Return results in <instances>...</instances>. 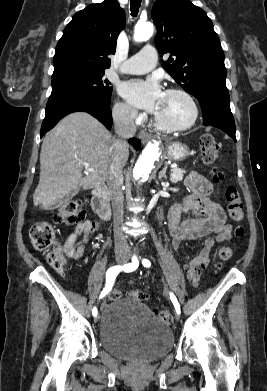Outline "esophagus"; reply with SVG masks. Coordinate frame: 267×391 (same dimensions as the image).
<instances>
[{
  "label": "esophagus",
  "mask_w": 267,
  "mask_h": 391,
  "mask_svg": "<svg viewBox=\"0 0 267 391\" xmlns=\"http://www.w3.org/2000/svg\"><path fill=\"white\" fill-rule=\"evenodd\" d=\"M139 138L141 139L142 143H146L150 139V134L145 131H141L139 133Z\"/></svg>",
  "instance_id": "1"
}]
</instances>
